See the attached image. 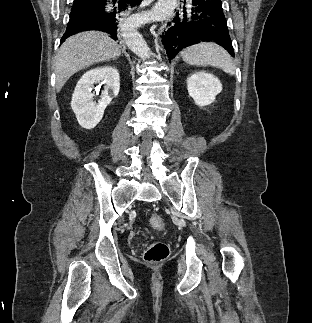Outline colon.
Here are the masks:
<instances>
[{"label": "colon", "mask_w": 312, "mask_h": 323, "mask_svg": "<svg viewBox=\"0 0 312 323\" xmlns=\"http://www.w3.org/2000/svg\"><path fill=\"white\" fill-rule=\"evenodd\" d=\"M151 226L157 230L165 229L162 218L158 214H152L149 218ZM169 255V248L165 243L154 242L144 253V261L150 264H159L167 259Z\"/></svg>", "instance_id": "5ec220e1"}]
</instances>
